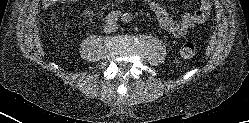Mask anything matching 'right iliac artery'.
<instances>
[{"label":"right iliac artery","instance_id":"right-iliac-artery-1","mask_svg":"<svg viewBox=\"0 0 249 123\" xmlns=\"http://www.w3.org/2000/svg\"><path fill=\"white\" fill-rule=\"evenodd\" d=\"M121 15L122 13L120 11H112L105 17V20L108 23H113L117 21Z\"/></svg>","mask_w":249,"mask_h":123}]
</instances>
